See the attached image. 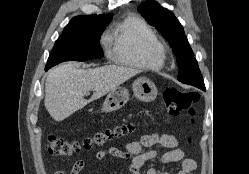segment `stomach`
Segmentation results:
<instances>
[{
	"instance_id": "0dacf381",
	"label": "stomach",
	"mask_w": 249,
	"mask_h": 174,
	"mask_svg": "<svg viewBox=\"0 0 249 174\" xmlns=\"http://www.w3.org/2000/svg\"><path fill=\"white\" fill-rule=\"evenodd\" d=\"M134 96L144 102L153 101L157 96L155 84L145 77L138 78L133 83ZM129 100V92L125 87H117L107 95L102 110L112 112L123 107Z\"/></svg>"
}]
</instances>
